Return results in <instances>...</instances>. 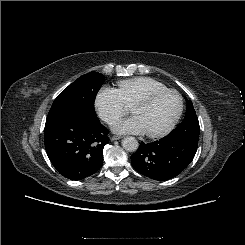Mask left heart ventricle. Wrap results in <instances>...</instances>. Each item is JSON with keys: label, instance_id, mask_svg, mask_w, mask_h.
Segmentation results:
<instances>
[{"label": "left heart ventricle", "instance_id": "b2bd125f", "mask_svg": "<svg viewBox=\"0 0 245 245\" xmlns=\"http://www.w3.org/2000/svg\"><path fill=\"white\" fill-rule=\"evenodd\" d=\"M178 107V97L173 93H167L149 104L134 106L132 113L139 118L145 132H157L172 121Z\"/></svg>", "mask_w": 245, "mask_h": 245}]
</instances>
